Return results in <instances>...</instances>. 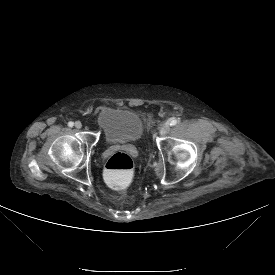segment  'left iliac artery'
<instances>
[{"label": "left iliac artery", "instance_id": "left-iliac-artery-1", "mask_svg": "<svg viewBox=\"0 0 275 275\" xmlns=\"http://www.w3.org/2000/svg\"><path fill=\"white\" fill-rule=\"evenodd\" d=\"M169 124H170V126H174V125L177 124V120H176V119H171V120L169 121Z\"/></svg>", "mask_w": 275, "mask_h": 275}]
</instances>
